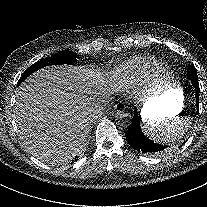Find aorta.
Here are the masks:
<instances>
[{
  "mask_svg": "<svg viewBox=\"0 0 207 207\" xmlns=\"http://www.w3.org/2000/svg\"><path fill=\"white\" fill-rule=\"evenodd\" d=\"M115 121L119 125H126L131 120V114L126 111L125 109L117 110V112L114 115Z\"/></svg>",
  "mask_w": 207,
  "mask_h": 207,
  "instance_id": "1",
  "label": "aorta"
}]
</instances>
